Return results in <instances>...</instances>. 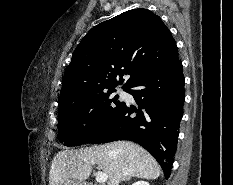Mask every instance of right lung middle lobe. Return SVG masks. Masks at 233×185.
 I'll list each match as a JSON object with an SVG mask.
<instances>
[{"instance_id": "right-lung-middle-lobe-1", "label": "right lung middle lobe", "mask_w": 233, "mask_h": 185, "mask_svg": "<svg viewBox=\"0 0 233 185\" xmlns=\"http://www.w3.org/2000/svg\"><path fill=\"white\" fill-rule=\"evenodd\" d=\"M126 90V89H124ZM115 89L99 92L59 108V140L65 146H78L102 128L120 109L124 102Z\"/></svg>"}]
</instances>
